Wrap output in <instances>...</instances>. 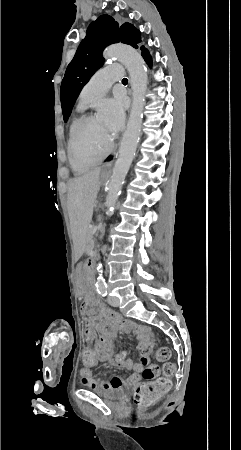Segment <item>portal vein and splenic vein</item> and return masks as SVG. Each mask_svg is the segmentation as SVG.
I'll list each match as a JSON object with an SVG mask.
<instances>
[{
	"label": "portal vein and splenic vein",
	"mask_w": 241,
	"mask_h": 450,
	"mask_svg": "<svg viewBox=\"0 0 241 450\" xmlns=\"http://www.w3.org/2000/svg\"><path fill=\"white\" fill-rule=\"evenodd\" d=\"M98 226L96 225H94V226H92V234H95V231H97L98 230V228H97Z\"/></svg>",
	"instance_id": "1"
}]
</instances>
